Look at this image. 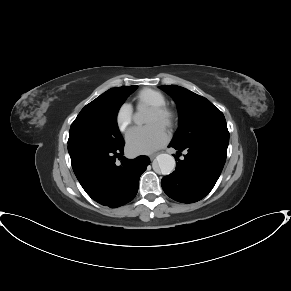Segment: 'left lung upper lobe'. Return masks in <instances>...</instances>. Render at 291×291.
Instances as JSON below:
<instances>
[{"label": "left lung upper lobe", "instance_id": "left-lung-upper-lobe-1", "mask_svg": "<svg viewBox=\"0 0 291 291\" xmlns=\"http://www.w3.org/2000/svg\"><path fill=\"white\" fill-rule=\"evenodd\" d=\"M176 102L179 127L171 144L185 146L207 139H229L223 113L206 98L176 85L160 87Z\"/></svg>", "mask_w": 291, "mask_h": 291}]
</instances>
